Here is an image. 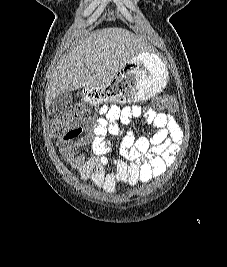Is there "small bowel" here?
<instances>
[{
  "mask_svg": "<svg viewBox=\"0 0 227 267\" xmlns=\"http://www.w3.org/2000/svg\"><path fill=\"white\" fill-rule=\"evenodd\" d=\"M138 122L155 129L154 134L137 136L127 130ZM108 135L122 137L120 152L129 162L116 161L111 169H105L104 155L112 147ZM182 143V130L173 115L141 105H102L91 127L81 124L70 128L57 141L63 157L79 177L107 194H113L120 183L136 185L162 176L174 164ZM88 145L93 156L81 152Z\"/></svg>",
  "mask_w": 227,
  "mask_h": 267,
  "instance_id": "c3829d8e",
  "label": "small bowel"
}]
</instances>
